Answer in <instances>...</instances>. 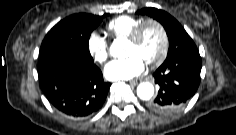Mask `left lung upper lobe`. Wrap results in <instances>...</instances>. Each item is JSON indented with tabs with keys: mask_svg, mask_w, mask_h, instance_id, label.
<instances>
[{
	"mask_svg": "<svg viewBox=\"0 0 236 135\" xmlns=\"http://www.w3.org/2000/svg\"><path fill=\"white\" fill-rule=\"evenodd\" d=\"M136 13L149 15L163 25L169 38V49L166 60L185 54L191 49H197L195 43L180 23L167 12L150 7L138 10Z\"/></svg>",
	"mask_w": 236,
	"mask_h": 135,
	"instance_id": "5c2ea615",
	"label": "left lung upper lobe"
}]
</instances>
